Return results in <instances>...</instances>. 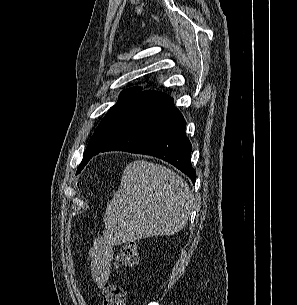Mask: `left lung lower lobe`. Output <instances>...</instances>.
<instances>
[{
    "label": "left lung lower lobe",
    "instance_id": "1",
    "mask_svg": "<svg viewBox=\"0 0 297 305\" xmlns=\"http://www.w3.org/2000/svg\"><path fill=\"white\" fill-rule=\"evenodd\" d=\"M115 150L163 159L195 184L196 172L190 161L192 145L185 135V120L167 94L140 92L114 120L90 157Z\"/></svg>",
    "mask_w": 297,
    "mask_h": 305
}]
</instances>
